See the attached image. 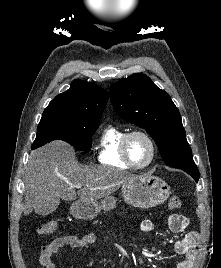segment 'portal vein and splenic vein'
Here are the masks:
<instances>
[{
    "label": "portal vein and splenic vein",
    "mask_w": 221,
    "mask_h": 268,
    "mask_svg": "<svg viewBox=\"0 0 221 268\" xmlns=\"http://www.w3.org/2000/svg\"><path fill=\"white\" fill-rule=\"evenodd\" d=\"M73 187L79 189V188H82V185L81 184H77V185H74Z\"/></svg>",
    "instance_id": "obj_1"
}]
</instances>
